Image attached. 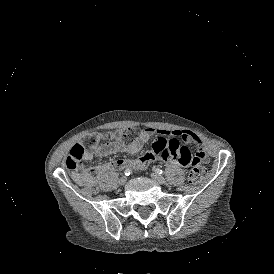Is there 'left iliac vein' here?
Here are the masks:
<instances>
[{"label": "left iliac vein", "mask_w": 274, "mask_h": 274, "mask_svg": "<svg viewBox=\"0 0 274 274\" xmlns=\"http://www.w3.org/2000/svg\"><path fill=\"white\" fill-rule=\"evenodd\" d=\"M151 177H152L156 182H158L159 184H165V183H166L165 178H164L163 176H161V175L152 173V174H151Z\"/></svg>", "instance_id": "left-iliac-vein-1"}]
</instances>
